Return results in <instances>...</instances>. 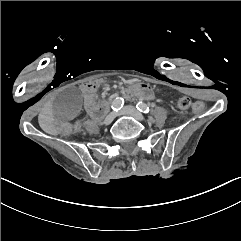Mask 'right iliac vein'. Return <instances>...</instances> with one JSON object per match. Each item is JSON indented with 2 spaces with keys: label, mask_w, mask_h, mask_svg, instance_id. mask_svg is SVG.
<instances>
[{
  "label": "right iliac vein",
  "mask_w": 241,
  "mask_h": 241,
  "mask_svg": "<svg viewBox=\"0 0 241 241\" xmlns=\"http://www.w3.org/2000/svg\"><path fill=\"white\" fill-rule=\"evenodd\" d=\"M115 116H116V113H115V112L109 113V114L105 117V119H104V124H105V125H109V124L113 121V119L115 118Z\"/></svg>",
  "instance_id": "right-iliac-vein-1"
}]
</instances>
